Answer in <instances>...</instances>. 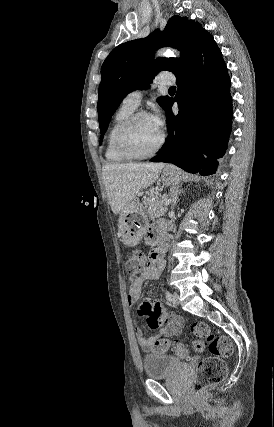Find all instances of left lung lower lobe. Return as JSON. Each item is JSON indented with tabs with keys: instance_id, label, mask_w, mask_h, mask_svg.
<instances>
[{
	"instance_id": "obj_1",
	"label": "left lung lower lobe",
	"mask_w": 274,
	"mask_h": 427,
	"mask_svg": "<svg viewBox=\"0 0 274 427\" xmlns=\"http://www.w3.org/2000/svg\"><path fill=\"white\" fill-rule=\"evenodd\" d=\"M175 76L177 93L164 108L169 136L150 161L173 163L203 176L214 174L216 159L227 148L233 112L230 78L213 37L199 45ZM174 102L177 115L171 109Z\"/></svg>"
}]
</instances>
